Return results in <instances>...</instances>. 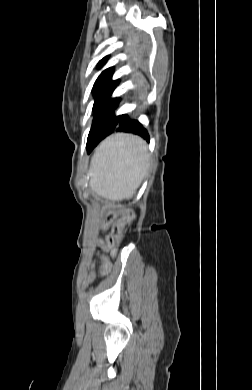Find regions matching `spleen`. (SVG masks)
Segmentation results:
<instances>
[{"instance_id": "3e777b00", "label": "spleen", "mask_w": 252, "mask_h": 390, "mask_svg": "<svg viewBox=\"0 0 252 390\" xmlns=\"http://www.w3.org/2000/svg\"><path fill=\"white\" fill-rule=\"evenodd\" d=\"M149 155L139 137L118 134L103 142L90 165V187L112 201L128 199L140 186Z\"/></svg>"}]
</instances>
